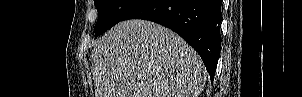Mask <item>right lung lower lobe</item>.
Segmentation results:
<instances>
[{"mask_svg": "<svg viewBox=\"0 0 302 97\" xmlns=\"http://www.w3.org/2000/svg\"><path fill=\"white\" fill-rule=\"evenodd\" d=\"M144 19L179 34L201 56L214 79L221 47V0H141L123 20Z\"/></svg>", "mask_w": 302, "mask_h": 97, "instance_id": "obj_1", "label": "right lung lower lobe"}]
</instances>
